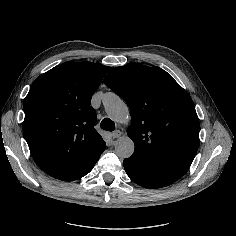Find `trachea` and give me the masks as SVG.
Listing matches in <instances>:
<instances>
[{
    "label": "trachea",
    "instance_id": "3493384b",
    "mask_svg": "<svg viewBox=\"0 0 236 236\" xmlns=\"http://www.w3.org/2000/svg\"><path fill=\"white\" fill-rule=\"evenodd\" d=\"M100 127L103 130L112 132L115 130V123L111 119L105 118L101 121Z\"/></svg>",
    "mask_w": 236,
    "mask_h": 236
}]
</instances>
